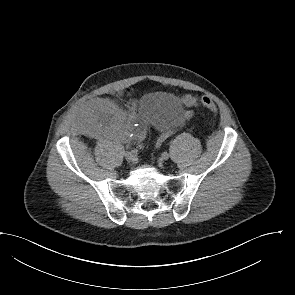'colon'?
Returning a JSON list of instances; mask_svg holds the SVG:
<instances>
[{
  "instance_id": "colon-1",
  "label": "colon",
  "mask_w": 295,
  "mask_h": 295,
  "mask_svg": "<svg viewBox=\"0 0 295 295\" xmlns=\"http://www.w3.org/2000/svg\"><path fill=\"white\" fill-rule=\"evenodd\" d=\"M196 105H202L203 107L209 109L212 112L217 111V107L214 103V101L209 96H202L199 99L193 98L190 101V106H196Z\"/></svg>"
}]
</instances>
